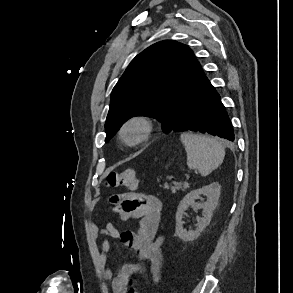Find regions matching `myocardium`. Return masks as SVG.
Instances as JSON below:
<instances>
[{"instance_id":"1","label":"myocardium","mask_w":293,"mask_h":293,"mask_svg":"<svg viewBox=\"0 0 293 293\" xmlns=\"http://www.w3.org/2000/svg\"><path fill=\"white\" fill-rule=\"evenodd\" d=\"M133 125L141 128V135L134 141H128L125 137L126 130ZM154 130L153 122L150 118L145 116H134L126 120L120 128V136L125 144L129 146H137L146 142L152 135Z\"/></svg>"}]
</instances>
